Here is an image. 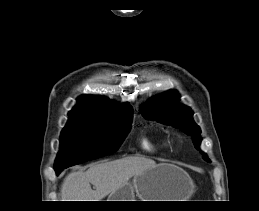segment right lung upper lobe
I'll list each match as a JSON object with an SVG mask.
<instances>
[{
  "label": "right lung upper lobe",
  "mask_w": 259,
  "mask_h": 211,
  "mask_svg": "<svg viewBox=\"0 0 259 211\" xmlns=\"http://www.w3.org/2000/svg\"><path fill=\"white\" fill-rule=\"evenodd\" d=\"M132 113L133 109L128 104L119 105L99 96L83 95L78 98V104L68 114H85L91 116H117Z\"/></svg>",
  "instance_id": "right-lung-upper-lobe-1"
}]
</instances>
